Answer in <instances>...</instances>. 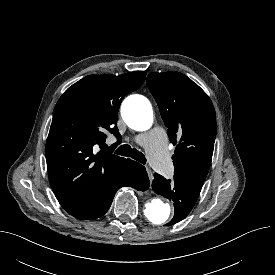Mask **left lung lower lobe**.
Returning a JSON list of instances; mask_svg holds the SVG:
<instances>
[{"label":"left lung lower lobe","instance_id":"left-lung-lower-lobe-1","mask_svg":"<svg viewBox=\"0 0 275 275\" xmlns=\"http://www.w3.org/2000/svg\"><path fill=\"white\" fill-rule=\"evenodd\" d=\"M152 188L174 204V217L167 224L169 226L178 223L189 214L198 199L202 184L176 176L172 180L165 179L155 173Z\"/></svg>","mask_w":275,"mask_h":275}]
</instances>
